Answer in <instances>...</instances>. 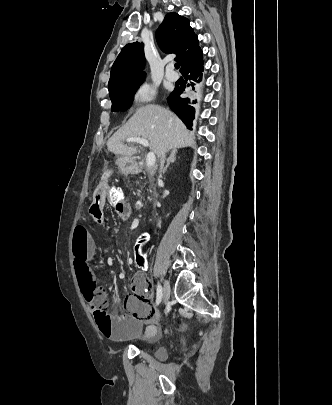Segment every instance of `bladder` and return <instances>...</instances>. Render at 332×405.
I'll use <instances>...</instances> for the list:
<instances>
[{"mask_svg": "<svg viewBox=\"0 0 332 405\" xmlns=\"http://www.w3.org/2000/svg\"><path fill=\"white\" fill-rule=\"evenodd\" d=\"M154 357L157 360L163 361L167 358V351L163 347H159L154 351Z\"/></svg>", "mask_w": 332, "mask_h": 405, "instance_id": "31cf9c89", "label": "bladder"}]
</instances>
